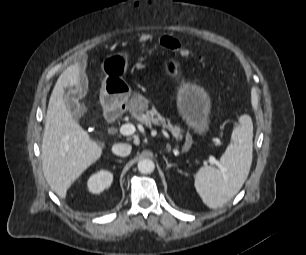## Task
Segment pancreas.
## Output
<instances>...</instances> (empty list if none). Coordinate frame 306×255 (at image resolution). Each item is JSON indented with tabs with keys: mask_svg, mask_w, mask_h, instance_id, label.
Instances as JSON below:
<instances>
[{
	"mask_svg": "<svg viewBox=\"0 0 306 255\" xmlns=\"http://www.w3.org/2000/svg\"><path fill=\"white\" fill-rule=\"evenodd\" d=\"M133 101H136V98ZM131 113L132 117L138 122L148 127L152 125L162 126L167 128L177 140L182 139L181 129L176 125H172L170 120L165 119L154 107L148 110V101L145 98L139 97V104L136 107L133 106L132 102Z\"/></svg>",
	"mask_w": 306,
	"mask_h": 255,
	"instance_id": "pancreas-1",
	"label": "pancreas"
}]
</instances>
